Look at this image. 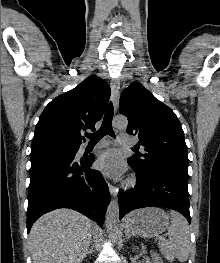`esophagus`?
Wrapping results in <instances>:
<instances>
[{
    "mask_svg": "<svg viewBox=\"0 0 220 263\" xmlns=\"http://www.w3.org/2000/svg\"><path fill=\"white\" fill-rule=\"evenodd\" d=\"M119 89H120L119 80L117 78H113L111 80V90H112V99H113V103H114L115 107H116L117 101H118ZM108 187H109L110 194L113 197H116L118 194V188L116 186L112 185L111 183L108 184Z\"/></svg>",
    "mask_w": 220,
    "mask_h": 263,
    "instance_id": "1",
    "label": "esophagus"
}]
</instances>
